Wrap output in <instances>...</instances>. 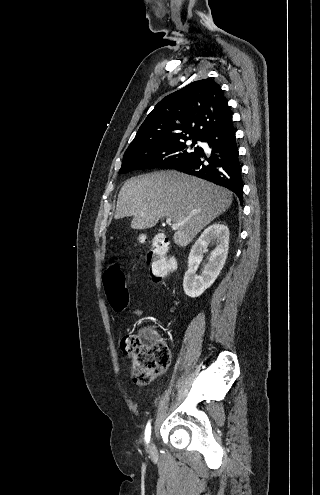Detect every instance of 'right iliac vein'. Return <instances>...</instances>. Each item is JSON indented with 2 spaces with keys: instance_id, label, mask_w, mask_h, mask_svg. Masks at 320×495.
I'll list each match as a JSON object with an SVG mask.
<instances>
[{
  "instance_id": "obj_1",
  "label": "right iliac vein",
  "mask_w": 320,
  "mask_h": 495,
  "mask_svg": "<svg viewBox=\"0 0 320 495\" xmlns=\"http://www.w3.org/2000/svg\"><path fill=\"white\" fill-rule=\"evenodd\" d=\"M149 451L151 454H155V452H156V447H155L153 442H151L149 445Z\"/></svg>"
}]
</instances>
